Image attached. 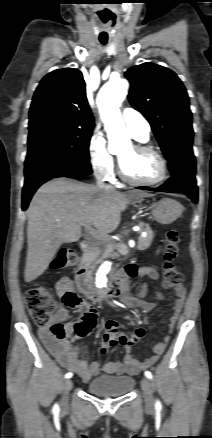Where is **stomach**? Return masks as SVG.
<instances>
[{
	"label": "stomach",
	"instance_id": "1",
	"mask_svg": "<svg viewBox=\"0 0 212 438\" xmlns=\"http://www.w3.org/2000/svg\"><path fill=\"white\" fill-rule=\"evenodd\" d=\"M136 201L141 202L142 198L136 197ZM182 205L173 200L164 198L155 202L152 208V215L154 219L164 225L174 222L182 214Z\"/></svg>",
	"mask_w": 212,
	"mask_h": 438
}]
</instances>
